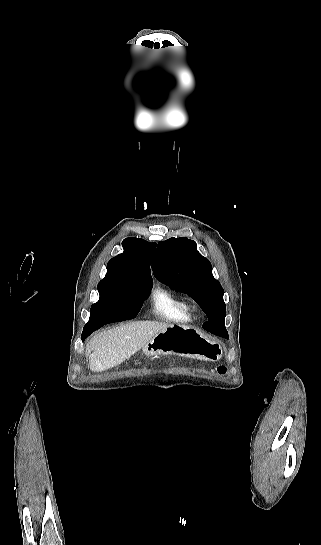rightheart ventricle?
Segmentation results:
<instances>
[{
  "label": "right heart ventricle",
  "mask_w": 321,
  "mask_h": 545,
  "mask_svg": "<svg viewBox=\"0 0 321 545\" xmlns=\"http://www.w3.org/2000/svg\"><path fill=\"white\" fill-rule=\"evenodd\" d=\"M151 309L155 317L169 324L186 326L192 323L189 301L166 288L157 287L153 290Z\"/></svg>",
  "instance_id": "e07e8e85"
}]
</instances>
